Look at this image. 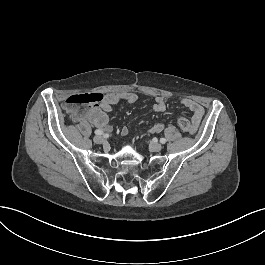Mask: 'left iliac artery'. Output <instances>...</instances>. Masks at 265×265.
I'll list each match as a JSON object with an SVG mask.
<instances>
[{
	"instance_id": "left-iliac-artery-1",
	"label": "left iliac artery",
	"mask_w": 265,
	"mask_h": 265,
	"mask_svg": "<svg viewBox=\"0 0 265 265\" xmlns=\"http://www.w3.org/2000/svg\"><path fill=\"white\" fill-rule=\"evenodd\" d=\"M160 142H161L162 144H164V143H166V139H165V138H161V139H160Z\"/></svg>"
}]
</instances>
